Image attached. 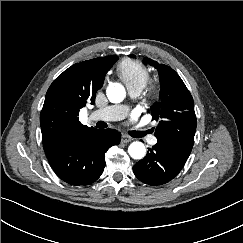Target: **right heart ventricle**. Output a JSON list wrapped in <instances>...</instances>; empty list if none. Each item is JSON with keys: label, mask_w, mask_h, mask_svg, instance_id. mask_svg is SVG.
Here are the masks:
<instances>
[{"label": "right heart ventricle", "mask_w": 243, "mask_h": 243, "mask_svg": "<svg viewBox=\"0 0 243 243\" xmlns=\"http://www.w3.org/2000/svg\"><path fill=\"white\" fill-rule=\"evenodd\" d=\"M117 72L128 89L142 90L151 78L148 68L141 62L132 59L121 61L117 66Z\"/></svg>", "instance_id": "1"}]
</instances>
